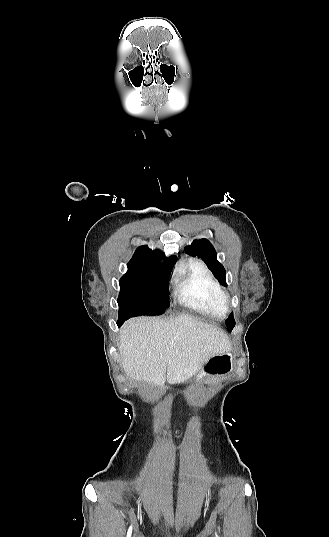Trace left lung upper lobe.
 <instances>
[{"mask_svg":"<svg viewBox=\"0 0 329 537\" xmlns=\"http://www.w3.org/2000/svg\"><path fill=\"white\" fill-rule=\"evenodd\" d=\"M185 251L189 255L199 256L207 265V267L212 271L213 275L222 282L226 284V271L223 265L217 260V253L213 245L207 239L194 240L191 245L185 247ZM226 326L229 331L235 326V320L233 314L226 320Z\"/></svg>","mask_w":329,"mask_h":537,"instance_id":"1","label":"left lung upper lobe"}]
</instances>
